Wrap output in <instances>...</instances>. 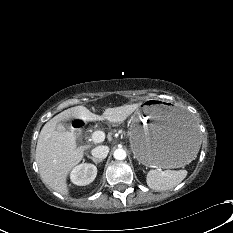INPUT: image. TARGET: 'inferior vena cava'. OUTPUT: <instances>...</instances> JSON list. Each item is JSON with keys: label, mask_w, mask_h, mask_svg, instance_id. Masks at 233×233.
<instances>
[{"label": "inferior vena cava", "mask_w": 233, "mask_h": 233, "mask_svg": "<svg viewBox=\"0 0 233 233\" xmlns=\"http://www.w3.org/2000/svg\"><path fill=\"white\" fill-rule=\"evenodd\" d=\"M92 155L98 159H105L109 153L108 146H97L91 151Z\"/></svg>", "instance_id": "obj_1"}]
</instances>
